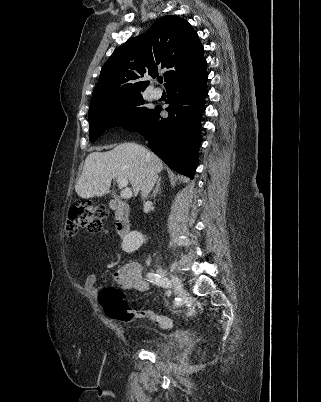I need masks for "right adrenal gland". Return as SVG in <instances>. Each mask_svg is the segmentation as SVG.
Listing matches in <instances>:
<instances>
[{
	"mask_svg": "<svg viewBox=\"0 0 321 402\" xmlns=\"http://www.w3.org/2000/svg\"><path fill=\"white\" fill-rule=\"evenodd\" d=\"M160 182H161V178L159 177V179H158V181H157V184H156V187H155V189L153 190V193L151 194L150 197H156V196H157V194H158L159 191H160Z\"/></svg>",
	"mask_w": 321,
	"mask_h": 402,
	"instance_id": "1",
	"label": "right adrenal gland"
}]
</instances>
